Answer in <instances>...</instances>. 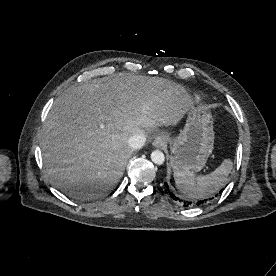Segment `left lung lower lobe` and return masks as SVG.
<instances>
[{
  "label": "left lung lower lobe",
  "instance_id": "obj_1",
  "mask_svg": "<svg viewBox=\"0 0 276 276\" xmlns=\"http://www.w3.org/2000/svg\"><path fill=\"white\" fill-rule=\"evenodd\" d=\"M164 186H165L167 192L169 193V195H170L174 200L179 201V202H183L184 206L188 207V206H190V205L195 204V202L183 201V200H181L180 198H178L176 195H174V193L170 190L169 185H168L166 182L164 183ZM221 192H222V190H220L219 193H221ZM209 196H211V197H210V198H207V197H209ZM209 196L204 197V198H206V199H203V200H200L199 202H197V203H196L197 206H199L200 204H203L204 202H207V201H209V200H212V199L214 198V193L211 194V195H209ZM215 196H217V194H216Z\"/></svg>",
  "mask_w": 276,
  "mask_h": 276
}]
</instances>
